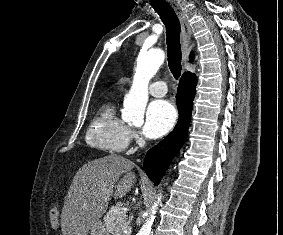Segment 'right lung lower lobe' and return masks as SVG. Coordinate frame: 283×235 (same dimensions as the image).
Returning a JSON list of instances; mask_svg holds the SVG:
<instances>
[{"label":"right lung lower lobe","instance_id":"obj_1","mask_svg":"<svg viewBox=\"0 0 283 235\" xmlns=\"http://www.w3.org/2000/svg\"><path fill=\"white\" fill-rule=\"evenodd\" d=\"M197 79L190 72L180 79L176 103L179 119L174 130L160 143L150 149L144 159V170L155 185H158L167 167L183 145L190 123Z\"/></svg>","mask_w":283,"mask_h":235}]
</instances>
